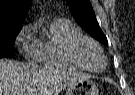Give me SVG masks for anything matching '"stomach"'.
Segmentation results:
<instances>
[{
    "label": "stomach",
    "instance_id": "0dacf381",
    "mask_svg": "<svg viewBox=\"0 0 135 95\" xmlns=\"http://www.w3.org/2000/svg\"><path fill=\"white\" fill-rule=\"evenodd\" d=\"M66 95H99V89L95 82L87 78L69 86Z\"/></svg>",
    "mask_w": 135,
    "mask_h": 95
}]
</instances>
